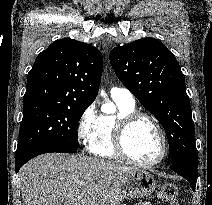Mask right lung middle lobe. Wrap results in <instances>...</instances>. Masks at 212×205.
Instances as JSON below:
<instances>
[{
	"label": "right lung middle lobe",
	"instance_id": "obj_1",
	"mask_svg": "<svg viewBox=\"0 0 212 205\" xmlns=\"http://www.w3.org/2000/svg\"><path fill=\"white\" fill-rule=\"evenodd\" d=\"M88 106L43 101L24 103L16 153L41 143L78 148L77 125Z\"/></svg>",
	"mask_w": 212,
	"mask_h": 205
}]
</instances>
